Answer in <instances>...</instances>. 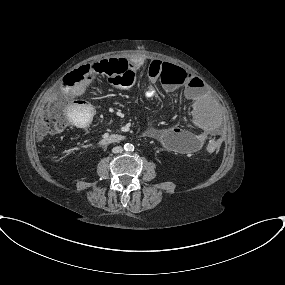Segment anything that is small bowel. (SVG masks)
Returning a JSON list of instances; mask_svg holds the SVG:
<instances>
[{
    "instance_id": "obj_1",
    "label": "small bowel",
    "mask_w": 285,
    "mask_h": 285,
    "mask_svg": "<svg viewBox=\"0 0 285 285\" xmlns=\"http://www.w3.org/2000/svg\"><path fill=\"white\" fill-rule=\"evenodd\" d=\"M143 63L142 59L131 61L134 68H139ZM163 68V62L158 59H152L149 63L150 79L155 80ZM91 80L78 82L73 87H68L66 92L67 111L71 122L79 126L80 119L90 118V105L81 100L90 88ZM169 92L183 90L189 100V118L193 121L198 132L194 133L178 127H168L161 130H154L152 137L157 140L163 147L173 149L182 154L196 152L204 147L207 141L220 136L216 123L209 119L205 114V103L200 96L201 87L198 84V78L186 72L181 81H170L165 85ZM154 91L148 89L147 97H153Z\"/></svg>"
}]
</instances>
